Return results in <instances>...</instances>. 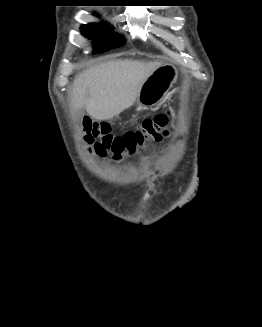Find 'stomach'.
Instances as JSON below:
<instances>
[{
  "label": "stomach",
  "mask_w": 262,
  "mask_h": 327,
  "mask_svg": "<svg viewBox=\"0 0 262 327\" xmlns=\"http://www.w3.org/2000/svg\"><path fill=\"white\" fill-rule=\"evenodd\" d=\"M178 79V71L172 64L159 66L143 83L136 102L146 109L158 105Z\"/></svg>",
  "instance_id": "stomach-1"
}]
</instances>
